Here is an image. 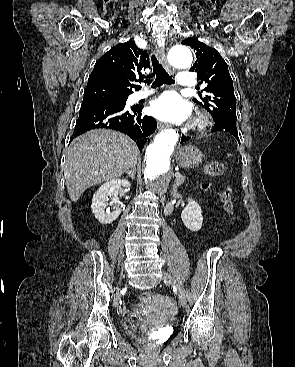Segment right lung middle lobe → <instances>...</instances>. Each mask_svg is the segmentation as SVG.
<instances>
[{
  "label": "right lung middle lobe",
  "instance_id": "1",
  "mask_svg": "<svg viewBox=\"0 0 295 367\" xmlns=\"http://www.w3.org/2000/svg\"><path fill=\"white\" fill-rule=\"evenodd\" d=\"M128 96L120 95L104 88H89L84 91L82 104L114 103L125 105Z\"/></svg>",
  "mask_w": 295,
  "mask_h": 367
}]
</instances>
